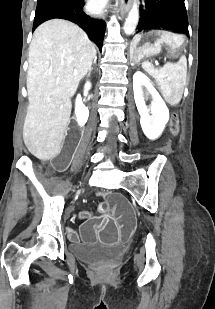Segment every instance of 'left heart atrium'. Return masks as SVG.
I'll list each match as a JSON object with an SVG mask.
<instances>
[{
	"label": "left heart atrium",
	"instance_id": "obj_1",
	"mask_svg": "<svg viewBox=\"0 0 215 309\" xmlns=\"http://www.w3.org/2000/svg\"><path fill=\"white\" fill-rule=\"evenodd\" d=\"M93 12H104V5H99L98 0L92 1Z\"/></svg>",
	"mask_w": 215,
	"mask_h": 309
}]
</instances>
